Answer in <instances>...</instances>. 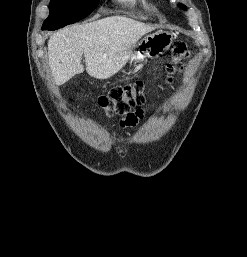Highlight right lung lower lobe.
<instances>
[{"label":"right lung lower lobe","instance_id":"obj_1","mask_svg":"<svg viewBox=\"0 0 247 257\" xmlns=\"http://www.w3.org/2000/svg\"><path fill=\"white\" fill-rule=\"evenodd\" d=\"M42 30H53L52 28L42 27Z\"/></svg>","mask_w":247,"mask_h":257}]
</instances>
